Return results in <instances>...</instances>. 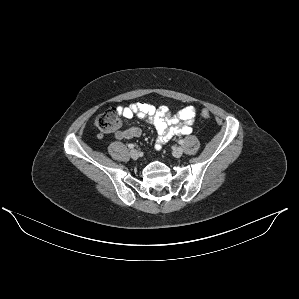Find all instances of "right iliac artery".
<instances>
[{"instance_id":"1","label":"right iliac artery","mask_w":299,"mask_h":299,"mask_svg":"<svg viewBox=\"0 0 299 299\" xmlns=\"http://www.w3.org/2000/svg\"><path fill=\"white\" fill-rule=\"evenodd\" d=\"M134 147H135L134 144H129V145H128V148H129V149H133Z\"/></svg>"}]
</instances>
